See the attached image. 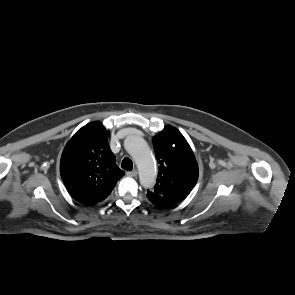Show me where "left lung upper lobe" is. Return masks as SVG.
Wrapping results in <instances>:
<instances>
[{"label":"left lung upper lobe","mask_w":295,"mask_h":295,"mask_svg":"<svg viewBox=\"0 0 295 295\" xmlns=\"http://www.w3.org/2000/svg\"><path fill=\"white\" fill-rule=\"evenodd\" d=\"M152 141L159 172L154 188L148 191L180 203L198 180L195 155L184 136L173 126H166Z\"/></svg>","instance_id":"1"}]
</instances>
